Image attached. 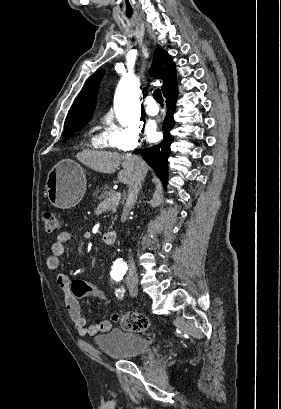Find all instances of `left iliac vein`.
<instances>
[{"label":"left iliac vein","mask_w":281,"mask_h":409,"mask_svg":"<svg viewBox=\"0 0 281 409\" xmlns=\"http://www.w3.org/2000/svg\"><path fill=\"white\" fill-rule=\"evenodd\" d=\"M128 288H129L130 295L132 297H135L137 295V292H138L136 285L129 283Z\"/></svg>","instance_id":"4c4485c4"}]
</instances>
